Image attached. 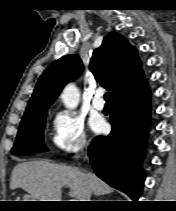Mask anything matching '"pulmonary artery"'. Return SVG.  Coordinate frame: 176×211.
<instances>
[{
	"mask_svg": "<svg viewBox=\"0 0 176 211\" xmlns=\"http://www.w3.org/2000/svg\"><path fill=\"white\" fill-rule=\"evenodd\" d=\"M93 106L97 110H102L105 107V102L103 100V90H97L95 97L93 98Z\"/></svg>",
	"mask_w": 176,
	"mask_h": 211,
	"instance_id": "pulmonary-artery-1",
	"label": "pulmonary artery"
}]
</instances>
